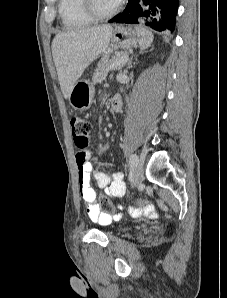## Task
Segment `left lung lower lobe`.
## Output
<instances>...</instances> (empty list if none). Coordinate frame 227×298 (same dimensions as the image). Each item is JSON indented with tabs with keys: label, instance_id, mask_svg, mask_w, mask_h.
I'll return each instance as SVG.
<instances>
[{
	"label": "left lung lower lobe",
	"instance_id": "1",
	"mask_svg": "<svg viewBox=\"0 0 227 298\" xmlns=\"http://www.w3.org/2000/svg\"><path fill=\"white\" fill-rule=\"evenodd\" d=\"M179 0H128L121 14L109 22L145 24L157 31L173 30Z\"/></svg>",
	"mask_w": 227,
	"mask_h": 298
}]
</instances>
